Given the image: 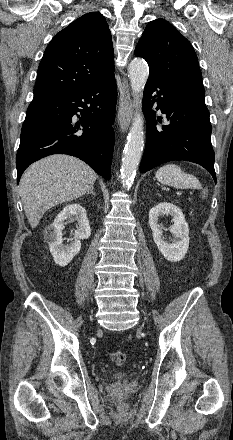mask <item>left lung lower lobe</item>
<instances>
[{
  "instance_id": "0a47b994",
  "label": "left lung lower lobe",
  "mask_w": 233,
  "mask_h": 440,
  "mask_svg": "<svg viewBox=\"0 0 233 440\" xmlns=\"http://www.w3.org/2000/svg\"><path fill=\"white\" fill-rule=\"evenodd\" d=\"M155 91L157 95L152 96ZM204 98L205 93L200 91L166 86L148 78L143 98L147 135L141 173L168 161L185 160L202 165L216 182L212 127ZM154 102L156 109L166 114L168 125L156 126V112L151 109Z\"/></svg>"
}]
</instances>
